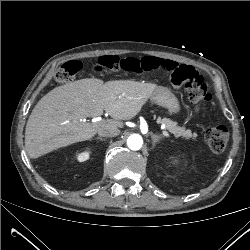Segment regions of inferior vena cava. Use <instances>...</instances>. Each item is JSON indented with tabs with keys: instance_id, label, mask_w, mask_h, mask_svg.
Here are the masks:
<instances>
[{
	"instance_id": "obj_1",
	"label": "inferior vena cava",
	"mask_w": 250,
	"mask_h": 250,
	"mask_svg": "<svg viewBox=\"0 0 250 250\" xmlns=\"http://www.w3.org/2000/svg\"><path fill=\"white\" fill-rule=\"evenodd\" d=\"M119 129L118 128H104L98 131V135L100 137H115L119 135Z\"/></svg>"
}]
</instances>
